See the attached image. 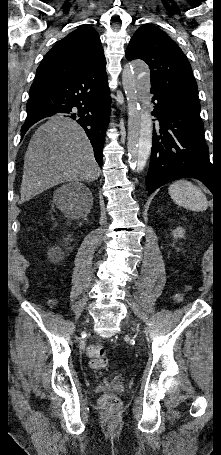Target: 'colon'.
Listing matches in <instances>:
<instances>
[{"instance_id": "1", "label": "colon", "mask_w": 221, "mask_h": 455, "mask_svg": "<svg viewBox=\"0 0 221 455\" xmlns=\"http://www.w3.org/2000/svg\"><path fill=\"white\" fill-rule=\"evenodd\" d=\"M181 298V295L176 296L177 300ZM87 353L92 368L103 369L108 365V357L103 346L98 344L91 345ZM101 405L110 411H116L120 407V400L114 394H105L101 399Z\"/></svg>"}]
</instances>
